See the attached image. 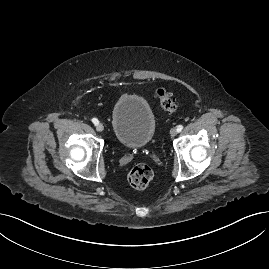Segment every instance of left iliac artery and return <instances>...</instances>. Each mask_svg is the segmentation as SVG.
Here are the masks:
<instances>
[{
    "label": "left iliac artery",
    "instance_id": "1",
    "mask_svg": "<svg viewBox=\"0 0 269 269\" xmlns=\"http://www.w3.org/2000/svg\"><path fill=\"white\" fill-rule=\"evenodd\" d=\"M182 129H183V126H182V125H178V126H177V131H178V132H181Z\"/></svg>",
    "mask_w": 269,
    "mask_h": 269
}]
</instances>
